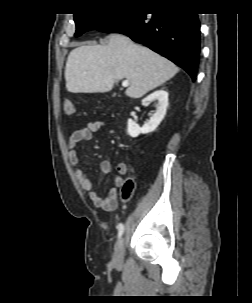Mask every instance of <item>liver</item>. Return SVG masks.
<instances>
[{"mask_svg": "<svg viewBox=\"0 0 252 303\" xmlns=\"http://www.w3.org/2000/svg\"><path fill=\"white\" fill-rule=\"evenodd\" d=\"M179 71L168 59L133 43L124 35L108 36L105 45H82L68 55L66 88L71 93H104L126 78L125 94L141 98L171 79Z\"/></svg>", "mask_w": 252, "mask_h": 303, "instance_id": "6515ba94", "label": "liver"}]
</instances>
